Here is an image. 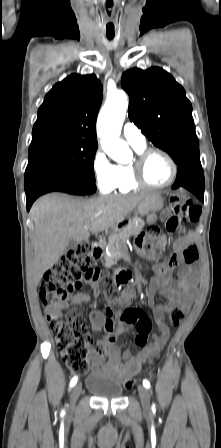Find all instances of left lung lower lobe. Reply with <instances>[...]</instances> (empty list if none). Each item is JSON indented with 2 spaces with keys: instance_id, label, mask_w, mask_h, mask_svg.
I'll return each instance as SVG.
<instances>
[{
  "instance_id": "obj_1",
  "label": "left lung lower lobe",
  "mask_w": 221,
  "mask_h": 448,
  "mask_svg": "<svg viewBox=\"0 0 221 448\" xmlns=\"http://www.w3.org/2000/svg\"><path fill=\"white\" fill-rule=\"evenodd\" d=\"M184 187L198 199L204 201V173L201 164L178 169L176 181L172 188Z\"/></svg>"
}]
</instances>
